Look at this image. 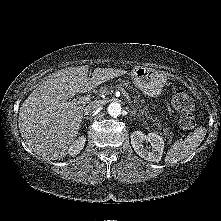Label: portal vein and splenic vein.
Segmentation results:
<instances>
[{
    "label": "portal vein and splenic vein",
    "mask_w": 221,
    "mask_h": 221,
    "mask_svg": "<svg viewBox=\"0 0 221 221\" xmlns=\"http://www.w3.org/2000/svg\"><path fill=\"white\" fill-rule=\"evenodd\" d=\"M120 91L124 92L125 94V91L124 89H120ZM79 104H87L90 102V97L89 96H84V97H81L79 98V100L77 101Z\"/></svg>",
    "instance_id": "obj_1"
}]
</instances>
